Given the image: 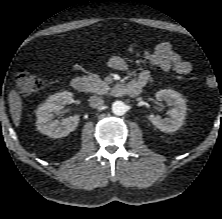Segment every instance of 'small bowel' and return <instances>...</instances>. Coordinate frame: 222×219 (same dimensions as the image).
Listing matches in <instances>:
<instances>
[{"mask_svg":"<svg viewBox=\"0 0 222 219\" xmlns=\"http://www.w3.org/2000/svg\"><path fill=\"white\" fill-rule=\"evenodd\" d=\"M131 49L135 51L137 56L145 59L163 72H175L179 75H186L192 71L191 63L176 53L172 45L167 41L158 43L152 51H138L135 46H132ZM108 65L122 72L128 69L127 62L120 56H111L108 59ZM148 77L147 72H142L135 82L144 85Z\"/></svg>","mask_w":222,"mask_h":219,"instance_id":"obj_1","label":"small bowel"}]
</instances>
